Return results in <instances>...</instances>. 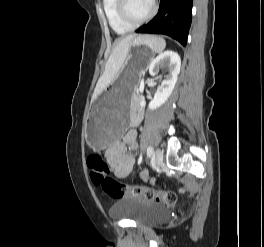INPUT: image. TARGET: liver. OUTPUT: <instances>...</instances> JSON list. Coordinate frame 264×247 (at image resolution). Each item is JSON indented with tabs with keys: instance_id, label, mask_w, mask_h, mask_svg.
<instances>
[{
	"instance_id": "1",
	"label": "liver",
	"mask_w": 264,
	"mask_h": 247,
	"mask_svg": "<svg viewBox=\"0 0 264 247\" xmlns=\"http://www.w3.org/2000/svg\"><path fill=\"white\" fill-rule=\"evenodd\" d=\"M138 37L136 35H129L116 42L105 65V71L97 82L91 102L96 100L97 97L118 77L119 71L128 55L132 42Z\"/></svg>"
}]
</instances>
